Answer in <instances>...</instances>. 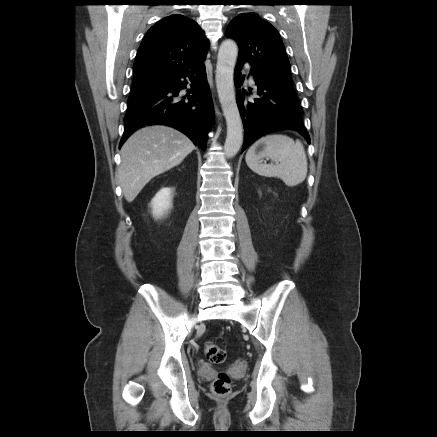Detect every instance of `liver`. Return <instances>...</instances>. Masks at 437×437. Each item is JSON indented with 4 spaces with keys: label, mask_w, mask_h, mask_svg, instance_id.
I'll use <instances>...</instances> for the list:
<instances>
[{
    "label": "liver",
    "mask_w": 437,
    "mask_h": 437,
    "mask_svg": "<svg viewBox=\"0 0 437 437\" xmlns=\"http://www.w3.org/2000/svg\"><path fill=\"white\" fill-rule=\"evenodd\" d=\"M195 146L169 126H148L134 132L121 149L118 178L128 202H132L155 176L179 165Z\"/></svg>",
    "instance_id": "6515ba94"
}]
</instances>
